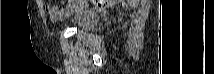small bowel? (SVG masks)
<instances>
[{
    "mask_svg": "<svg viewBox=\"0 0 214 74\" xmlns=\"http://www.w3.org/2000/svg\"><path fill=\"white\" fill-rule=\"evenodd\" d=\"M45 11L52 17V18H61L66 15L67 10L55 6H51L45 4Z\"/></svg>",
    "mask_w": 214,
    "mask_h": 74,
    "instance_id": "c3829d8e",
    "label": "small bowel"
}]
</instances>
